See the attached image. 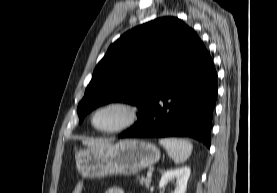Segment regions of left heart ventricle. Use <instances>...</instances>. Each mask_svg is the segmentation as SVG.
Wrapping results in <instances>:
<instances>
[{"label": "left heart ventricle", "instance_id": "1", "mask_svg": "<svg viewBox=\"0 0 277 193\" xmlns=\"http://www.w3.org/2000/svg\"><path fill=\"white\" fill-rule=\"evenodd\" d=\"M126 116V112L121 108H105L95 115L94 123L100 129H112L120 125Z\"/></svg>", "mask_w": 277, "mask_h": 193}]
</instances>
